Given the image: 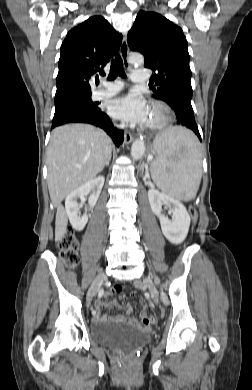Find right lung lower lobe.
<instances>
[{
  "mask_svg": "<svg viewBox=\"0 0 252 390\" xmlns=\"http://www.w3.org/2000/svg\"><path fill=\"white\" fill-rule=\"evenodd\" d=\"M89 123L104 129L116 146L124 140L122 130L115 128L110 118L98 107L89 108L81 105H68L55 109L51 129L65 123Z\"/></svg>",
  "mask_w": 252,
  "mask_h": 390,
  "instance_id": "obj_1",
  "label": "right lung lower lobe"
}]
</instances>
